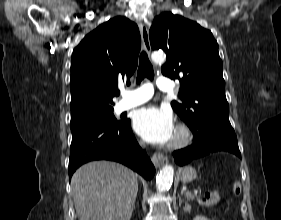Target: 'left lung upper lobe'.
<instances>
[{"label": "left lung upper lobe", "mask_w": 281, "mask_h": 220, "mask_svg": "<svg viewBox=\"0 0 281 220\" xmlns=\"http://www.w3.org/2000/svg\"><path fill=\"white\" fill-rule=\"evenodd\" d=\"M149 36L154 50L166 52L162 74L181 83L180 99L171 106L189 128L206 121L229 122L222 61L212 33L165 12L154 19Z\"/></svg>", "instance_id": "obj_1"}]
</instances>
